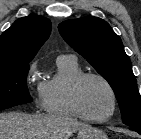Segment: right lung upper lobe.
<instances>
[{
	"label": "right lung upper lobe",
	"instance_id": "right-lung-upper-lobe-1",
	"mask_svg": "<svg viewBox=\"0 0 141 139\" xmlns=\"http://www.w3.org/2000/svg\"><path fill=\"white\" fill-rule=\"evenodd\" d=\"M51 32V22L31 14L14 22L0 37V65L28 64Z\"/></svg>",
	"mask_w": 141,
	"mask_h": 139
}]
</instances>
